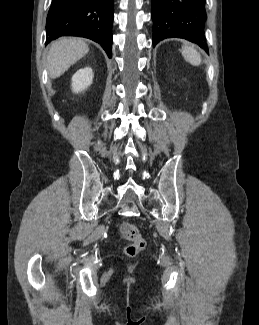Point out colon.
Here are the masks:
<instances>
[{"label":"colon","mask_w":259,"mask_h":325,"mask_svg":"<svg viewBox=\"0 0 259 325\" xmlns=\"http://www.w3.org/2000/svg\"><path fill=\"white\" fill-rule=\"evenodd\" d=\"M120 233L121 236L128 241L124 249L127 256L135 257L145 248V239L135 225L124 222L120 227Z\"/></svg>","instance_id":"1"}]
</instances>
